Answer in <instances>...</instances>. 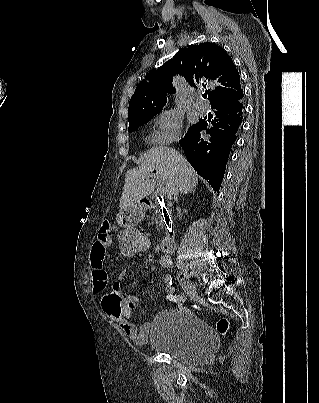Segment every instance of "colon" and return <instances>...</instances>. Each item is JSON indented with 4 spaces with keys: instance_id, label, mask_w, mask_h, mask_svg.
Here are the masks:
<instances>
[{
    "instance_id": "5ec220e1",
    "label": "colon",
    "mask_w": 319,
    "mask_h": 403,
    "mask_svg": "<svg viewBox=\"0 0 319 403\" xmlns=\"http://www.w3.org/2000/svg\"><path fill=\"white\" fill-rule=\"evenodd\" d=\"M115 250L122 254L124 260H135L137 254H149L150 240L148 234H143L142 226H127L126 229L121 230V236L115 237ZM168 297L179 305L184 303L182 295L169 294ZM228 328L229 321L226 318H221L217 322V329L221 334H225Z\"/></svg>"
}]
</instances>
